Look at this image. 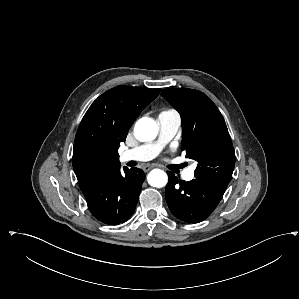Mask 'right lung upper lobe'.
I'll list each match as a JSON object with an SVG mask.
<instances>
[{
	"label": "right lung upper lobe",
	"mask_w": 299,
	"mask_h": 299,
	"mask_svg": "<svg viewBox=\"0 0 299 299\" xmlns=\"http://www.w3.org/2000/svg\"><path fill=\"white\" fill-rule=\"evenodd\" d=\"M160 89L122 86L99 96L84 115L78 128L73 168L86 193L108 170L120 167L118 148L140 112Z\"/></svg>",
	"instance_id": "1"
}]
</instances>
